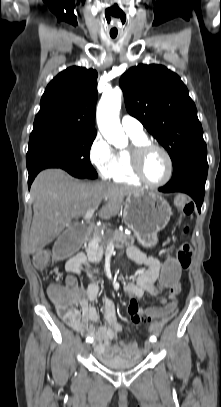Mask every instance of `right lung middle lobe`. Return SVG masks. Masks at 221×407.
I'll use <instances>...</instances> for the list:
<instances>
[{"instance_id":"right-lung-middle-lobe-1","label":"right lung middle lobe","mask_w":221,"mask_h":407,"mask_svg":"<svg viewBox=\"0 0 221 407\" xmlns=\"http://www.w3.org/2000/svg\"><path fill=\"white\" fill-rule=\"evenodd\" d=\"M96 133L70 129L47 128L33 130L26 155L28 171L46 163H54L70 174L96 178L90 163V148Z\"/></svg>"}]
</instances>
